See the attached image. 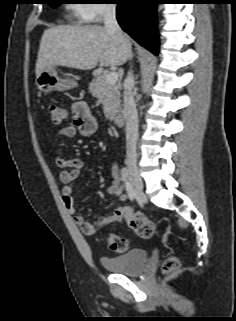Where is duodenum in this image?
<instances>
[{"label":"duodenum","mask_w":236,"mask_h":321,"mask_svg":"<svg viewBox=\"0 0 236 321\" xmlns=\"http://www.w3.org/2000/svg\"><path fill=\"white\" fill-rule=\"evenodd\" d=\"M112 121L116 126H123L124 125V116L122 113H115L112 116Z\"/></svg>","instance_id":"410a0bca"}]
</instances>
